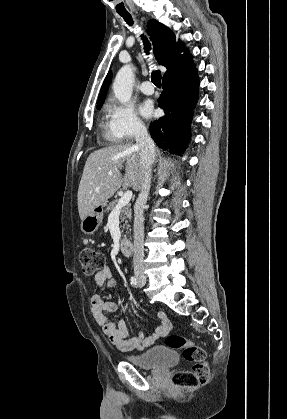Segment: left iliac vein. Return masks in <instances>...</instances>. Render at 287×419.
Instances as JSON below:
<instances>
[{"label": "left iliac vein", "mask_w": 287, "mask_h": 419, "mask_svg": "<svg viewBox=\"0 0 287 419\" xmlns=\"http://www.w3.org/2000/svg\"><path fill=\"white\" fill-rule=\"evenodd\" d=\"M143 285H144V281L143 280H140L139 281V286L142 287Z\"/></svg>", "instance_id": "obj_1"}]
</instances>
